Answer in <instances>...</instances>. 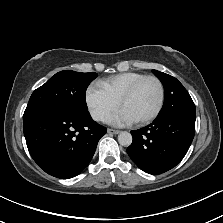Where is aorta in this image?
<instances>
[{
    "label": "aorta",
    "instance_id": "aorta-1",
    "mask_svg": "<svg viewBox=\"0 0 223 223\" xmlns=\"http://www.w3.org/2000/svg\"><path fill=\"white\" fill-rule=\"evenodd\" d=\"M117 139H118V142L123 146H129L132 142V136L127 131H121L118 134Z\"/></svg>",
    "mask_w": 223,
    "mask_h": 223
}]
</instances>
